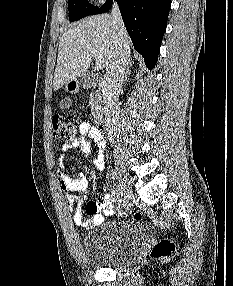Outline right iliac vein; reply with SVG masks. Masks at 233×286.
Listing matches in <instances>:
<instances>
[{
	"label": "right iliac vein",
	"instance_id": "1",
	"mask_svg": "<svg viewBox=\"0 0 233 286\" xmlns=\"http://www.w3.org/2000/svg\"><path fill=\"white\" fill-rule=\"evenodd\" d=\"M119 186H120V200L119 203L121 207H126L129 203V200L133 198V192L130 187V182L125 174H120L119 177Z\"/></svg>",
	"mask_w": 233,
	"mask_h": 286
}]
</instances>
